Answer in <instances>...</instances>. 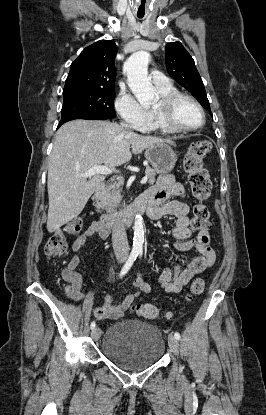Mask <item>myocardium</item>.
I'll list each match as a JSON object with an SVG mask.
<instances>
[{"instance_id":"obj_1","label":"myocardium","mask_w":266,"mask_h":415,"mask_svg":"<svg viewBox=\"0 0 266 415\" xmlns=\"http://www.w3.org/2000/svg\"><path fill=\"white\" fill-rule=\"evenodd\" d=\"M182 99L189 100L199 110L202 117V121L199 125L193 127H186L182 126L176 121L175 108L177 103ZM154 109L157 113L159 120L163 123V125H165L168 129L174 132L196 131L202 128L206 123V113L202 105L196 98L184 92L175 91L165 95H161L158 102L155 104Z\"/></svg>"}]
</instances>
